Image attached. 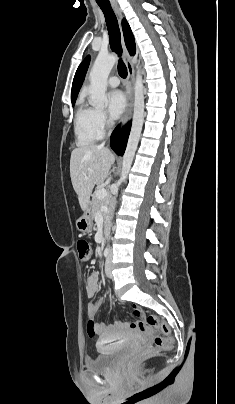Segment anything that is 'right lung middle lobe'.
I'll use <instances>...</instances> for the list:
<instances>
[{
  "label": "right lung middle lobe",
  "instance_id": "dd1d6c3e",
  "mask_svg": "<svg viewBox=\"0 0 235 404\" xmlns=\"http://www.w3.org/2000/svg\"><path fill=\"white\" fill-rule=\"evenodd\" d=\"M74 103H75V102H72V105H73V106H74Z\"/></svg>",
  "mask_w": 235,
  "mask_h": 404
}]
</instances>
